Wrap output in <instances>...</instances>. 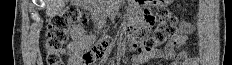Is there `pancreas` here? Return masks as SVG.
<instances>
[{
  "instance_id": "1",
  "label": "pancreas",
  "mask_w": 232,
  "mask_h": 65,
  "mask_svg": "<svg viewBox=\"0 0 232 65\" xmlns=\"http://www.w3.org/2000/svg\"><path fill=\"white\" fill-rule=\"evenodd\" d=\"M101 2H106V1H105V0H102ZM107 10H108V7H107V6H104V7L102 8V11H101V12L106 13Z\"/></svg>"
}]
</instances>
